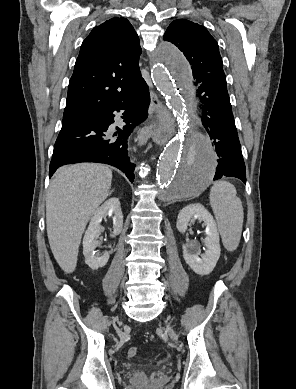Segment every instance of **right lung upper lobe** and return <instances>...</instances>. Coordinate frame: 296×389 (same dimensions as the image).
<instances>
[{
	"label": "right lung upper lobe",
	"instance_id": "obj_1",
	"mask_svg": "<svg viewBox=\"0 0 296 389\" xmlns=\"http://www.w3.org/2000/svg\"><path fill=\"white\" fill-rule=\"evenodd\" d=\"M141 51L127 19L112 18L95 27L81 45L63 119L87 118L120 103L141 74Z\"/></svg>",
	"mask_w": 296,
	"mask_h": 389
}]
</instances>
